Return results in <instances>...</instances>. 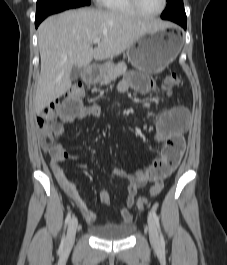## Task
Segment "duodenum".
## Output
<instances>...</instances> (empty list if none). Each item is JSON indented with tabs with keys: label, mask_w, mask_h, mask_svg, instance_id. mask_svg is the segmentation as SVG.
Wrapping results in <instances>:
<instances>
[{
	"label": "duodenum",
	"mask_w": 227,
	"mask_h": 265,
	"mask_svg": "<svg viewBox=\"0 0 227 265\" xmlns=\"http://www.w3.org/2000/svg\"><path fill=\"white\" fill-rule=\"evenodd\" d=\"M94 75H95V69L93 66H88L84 69L83 73H82V80L87 83L90 84L93 82L94 80Z\"/></svg>",
	"instance_id": "410a0bca"
}]
</instances>
